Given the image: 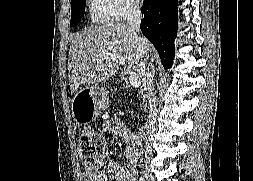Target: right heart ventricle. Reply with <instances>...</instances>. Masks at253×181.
Listing matches in <instances>:
<instances>
[{
  "label": "right heart ventricle",
  "mask_w": 253,
  "mask_h": 181,
  "mask_svg": "<svg viewBox=\"0 0 253 181\" xmlns=\"http://www.w3.org/2000/svg\"><path fill=\"white\" fill-rule=\"evenodd\" d=\"M87 10L92 23H108L112 19L107 0H87Z\"/></svg>",
  "instance_id": "e07e8e85"
}]
</instances>
